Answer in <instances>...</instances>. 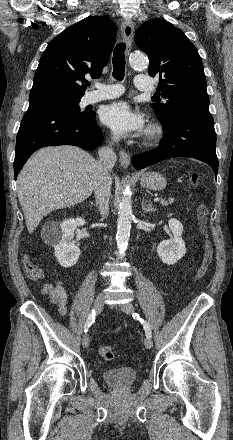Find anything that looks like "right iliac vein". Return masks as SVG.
<instances>
[{
    "label": "right iliac vein",
    "instance_id": "1",
    "mask_svg": "<svg viewBox=\"0 0 233 440\" xmlns=\"http://www.w3.org/2000/svg\"><path fill=\"white\" fill-rule=\"evenodd\" d=\"M104 299L103 295L99 294L94 301V309L97 314H99L103 309ZM90 343L89 335L86 333L82 338V345L84 348H88Z\"/></svg>",
    "mask_w": 233,
    "mask_h": 440
}]
</instances>
